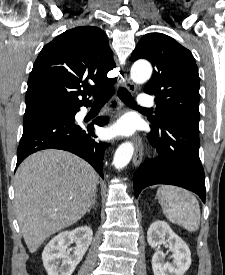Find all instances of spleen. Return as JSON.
I'll use <instances>...</instances> for the list:
<instances>
[{
  "label": "spleen",
  "mask_w": 225,
  "mask_h": 275,
  "mask_svg": "<svg viewBox=\"0 0 225 275\" xmlns=\"http://www.w3.org/2000/svg\"><path fill=\"white\" fill-rule=\"evenodd\" d=\"M157 198L163 214L173 224L195 232L200 225V207L197 199L187 190L163 185L157 190Z\"/></svg>",
  "instance_id": "1"
}]
</instances>
